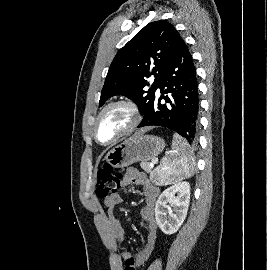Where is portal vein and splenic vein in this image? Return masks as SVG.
<instances>
[{"label":"portal vein and splenic vein","mask_w":267,"mask_h":270,"mask_svg":"<svg viewBox=\"0 0 267 270\" xmlns=\"http://www.w3.org/2000/svg\"><path fill=\"white\" fill-rule=\"evenodd\" d=\"M158 162V159H152L151 160V166H153L154 164H156Z\"/></svg>","instance_id":"1"}]
</instances>
